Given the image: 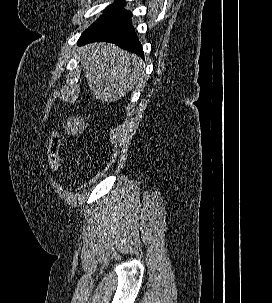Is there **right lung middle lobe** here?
<instances>
[{
	"mask_svg": "<svg viewBox=\"0 0 272 303\" xmlns=\"http://www.w3.org/2000/svg\"><path fill=\"white\" fill-rule=\"evenodd\" d=\"M123 5V2H115L112 5L108 6L105 10V14L101 16L96 22H94L88 29H86L84 33L130 17L131 13L124 10Z\"/></svg>",
	"mask_w": 272,
	"mask_h": 303,
	"instance_id": "1",
	"label": "right lung middle lobe"
}]
</instances>
